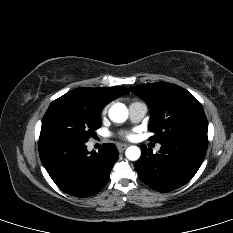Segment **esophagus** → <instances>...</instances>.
Returning <instances> with one entry per match:
<instances>
[{"label": "esophagus", "mask_w": 233, "mask_h": 233, "mask_svg": "<svg viewBox=\"0 0 233 233\" xmlns=\"http://www.w3.org/2000/svg\"><path fill=\"white\" fill-rule=\"evenodd\" d=\"M127 147H128L127 144H118V145H117V148H118V151H119V152L124 151Z\"/></svg>", "instance_id": "34e87169"}]
</instances>
